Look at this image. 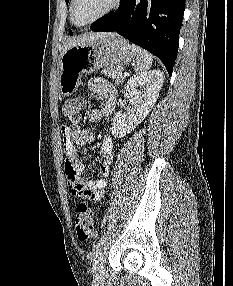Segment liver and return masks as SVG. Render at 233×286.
<instances>
[{"mask_svg": "<svg viewBox=\"0 0 233 286\" xmlns=\"http://www.w3.org/2000/svg\"><path fill=\"white\" fill-rule=\"evenodd\" d=\"M110 34L111 33H89L88 35H84L82 37L72 39L69 41V43L67 45H65V47L63 49V53L71 47H74L76 45H80V44L86 43L88 41H92V40H95L99 37H102L105 35H110Z\"/></svg>", "mask_w": 233, "mask_h": 286, "instance_id": "liver-1", "label": "liver"}]
</instances>
